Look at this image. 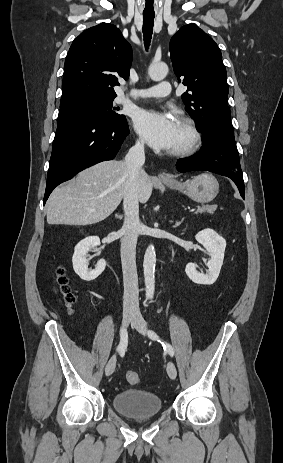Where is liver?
<instances>
[{
    "label": "liver",
    "mask_w": 283,
    "mask_h": 463,
    "mask_svg": "<svg viewBox=\"0 0 283 463\" xmlns=\"http://www.w3.org/2000/svg\"><path fill=\"white\" fill-rule=\"evenodd\" d=\"M129 178L125 161H104L80 172L57 187L47 201V222L85 226L103 221L120 204ZM153 180L145 173L139 201L146 203Z\"/></svg>",
    "instance_id": "1"
}]
</instances>
